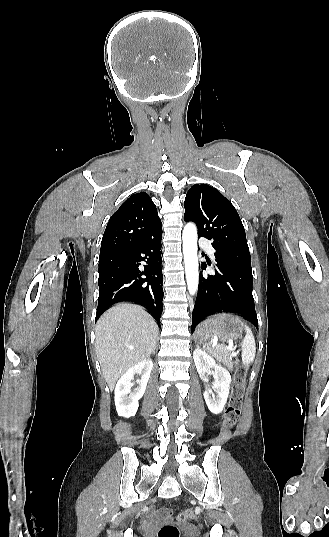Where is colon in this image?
I'll list each match as a JSON object with an SVG mask.
<instances>
[{"label":"colon","mask_w":329,"mask_h":537,"mask_svg":"<svg viewBox=\"0 0 329 537\" xmlns=\"http://www.w3.org/2000/svg\"><path fill=\"white\" fill-rule=\"evenodd\" d=\"M245 375L246 369L244 366H238L234 373V382L230 393L229 405L224 416V427L232 428L238 421L242 398L245 387ZM195 517L192 510L187 509L178 513L177 520L181 523L187 522ZM180 531L177 526L173 524L162 525L158 532L157 537H180Z\"/></svg>","instance_id":"colon-1"}]
</instances>
